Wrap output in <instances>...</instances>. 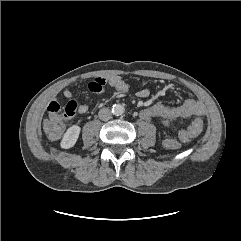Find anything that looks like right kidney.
<instances>
[{
  "instance_id": "right-kidney-1",
  "label": "right kidney",
  "mask_w": 241,
  "mask_h": 241,
  "mask_svg": "<svg viewBox=\"0 0 241 241\" xmlns=\"http://www.w3.org/2000/svg\"><path fill=\"white\" fill-rule=\"evenodd\" d=\"M80 131L81 128L77 125H73L70 128H68L62 138L61 147L64 149H69L73 147L78 140Z\"/></svg>"
}]
</instances>
